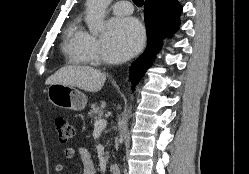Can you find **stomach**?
<instances>
[{
    "mask_svg": "<svg viewBox=\"0 0 249 174\" xmlns=\"http://www.w3.org/2000/svg\"><path fill=\"white\" fill-rule=\"evenodd\" d=\"M47 94L49 101L57 107L80 111L87 104L85 94L71 86L50 84Z\"/></svg>",
    "mask_w": 249,
    "mask_h": 174,
    "instance_id": "stomach-1",
    "label": "stomach"
}]
</instances>
